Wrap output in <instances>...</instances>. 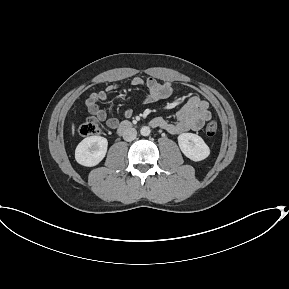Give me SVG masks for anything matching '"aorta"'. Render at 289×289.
<instances>
[{"label": "aorta", "instance_id": "obj_1", "mask_svg": "<svg viewBox=\"0 0 289 289\" xmlns=\"http://www.w3.org/2000/svg\"><path fill=\"white\" fill-rule=\"evenodd\" d=\"M140 133L142 136H148L150 134V128L148 126H143L140 129Z\"/></svg>", "mask_w": 289, "mask_h": 289}]
</instances>
